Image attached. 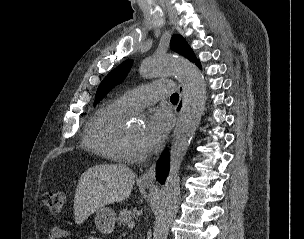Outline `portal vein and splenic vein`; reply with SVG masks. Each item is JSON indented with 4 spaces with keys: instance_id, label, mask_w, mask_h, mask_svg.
Instances as JSON below:
<instances>
[{
    "instance_id": "portal-vein-and-splenic-vein-1",
    "label": "portal vein and splenic vein",
    "mask_w": 304,
    "mask_h": 239,
    "mask_svg": "<svg viewBox=\"0 0 304 239\" xmlns=\"http://www.w3.org/2000/svg\"><path fill=\"white\" fill-rule=\"evenodd\" d=\"M135 226V223L134 222H130L129 224H128V227L129 228H133Z\"/></svg>"
}]
</instances>
